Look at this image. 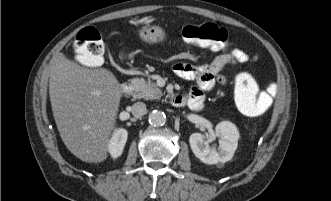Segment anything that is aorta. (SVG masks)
I'll return each mask as SVG.
<instances>
[{
	"instance_id": "762f6f07",
	"label": "aorta",
	"mask_w": 331,
	"mask_h": 201,
	"mask_svg": "<svg viewBox=\"0 0 331 201\" xmlns=\"http://www.w3.org/2000/svg\"><path fill=\"white\" fill-rule=\"evenodd\" d=\"M166 122V115L160 110H153L149 114V123L154 127L163 126Z\"/></svg>"
}]
</instances>
